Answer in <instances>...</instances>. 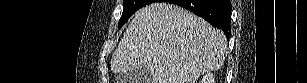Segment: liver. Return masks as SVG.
I'll list each match as a JSON object with an SVG mask.
<instances>
[{
	"label": "liver",
	"mask_w": 307,
	"mask_h": 83,
	"mask_svg": "<svg viewBox=\"0 0 307 83\" xmlns=\"http://www.w3.org/2000/svg\"><path fill=\"white\" fill-rule=\"evenodd\" d=\"M227 39L222 30L184 8L153 3L137 11L111 59V70H147L150 83H195L220 70Z\"/></svg>",
	"instance_id": "1"
}]
</instances>
